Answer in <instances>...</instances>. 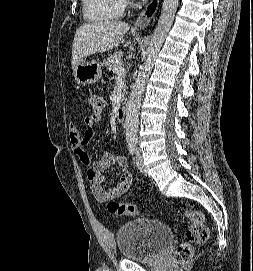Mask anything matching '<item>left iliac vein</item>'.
I'll return each instance as SVG.
<instances>
[{
  "label": "left iliac vein",
  "mask_w": 253,
  "mask_h": 271,
  "mask_svg": "<svg viewBox=\"0 0 253 271\" xmlns=\"http://www.w3.org/2000/svg\"><path fill=\"white\" fill-rule=\"evenodd\" d=\"M136 166L142 173L146 174V170L143 165L142 151L140 148H136Z\"/></svg>",
  "instance_id": "1"
}]
</instances>
